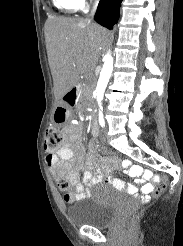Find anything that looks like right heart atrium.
I'll list each match as a JSON object with an SVG mask.
<instances>
[{
    "label": "right heart atrium",
    "instance_id": "right-heart-atrium-1",
    "mask_svg": "<svg viewBox=\"0 0 183 246\" xmlns=\"http://www.w3.org/2000/svg\"><path fill=\"white\" fill-rule=\"evenodd\" d=\"M86 1H87V0H76L77 4H78L80 7H83Z\"/></svg>",
    "mask_w": 183,
    "mask_h": 246
}]
</instances>
